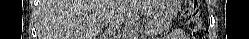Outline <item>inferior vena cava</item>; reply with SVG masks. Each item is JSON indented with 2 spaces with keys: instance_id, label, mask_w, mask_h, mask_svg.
<instances>
[{
  "instance_id": "1",
  "label": "inferior vena cava",
  "mask_w": 249,
  "mask_h": 39,
  "mask_svg": "<svg viewBox=\"0 0 249 39\" xmlns=\"http://www.w3.org/2000/svg\"><path fill=\"white\" fill-rule=\"evenodd\" d=\"M119 25L120 24L117 21H113L108 26H106L107 29L104 35V39H115L116 33L119 30Z\"/></svg>"
}]
</instances>
